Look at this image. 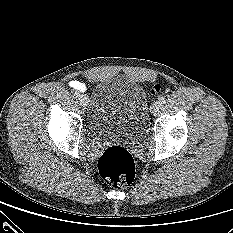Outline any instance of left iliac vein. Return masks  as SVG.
<instances>
[{"mask_svg":"<svg viewBox=\"0 0 233 233\" xmlns=\"http://www.w3.org/2000/svg\"><path fill=\"white\" fill-rule=\"evenodd\" d=\"M160 107H161V103L159 101L153 102L151 107H150L151 113H156Z\"/></svg>","mask_w":233,"mask_h":233,"instance_id":"obj_1","label":"left iliac vein"}]
</instances>
